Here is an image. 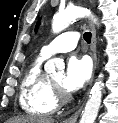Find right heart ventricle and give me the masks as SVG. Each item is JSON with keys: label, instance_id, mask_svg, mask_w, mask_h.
<instances>
[{"label": "right heart ventricle", "instance_id": "e07e8e85", "mask_svg": "<svg viewBox=\"0 0 118 123\" xmlns=\"http://www.w3.org/2000/svg\"><path fill=\"white\" fill-rule=\"evenodd\" d=\"M45 58L39 55L34 60L25 72L20 85V106L31 115H50L58 107L50 79L42 70Z\"/></svg>", "mask_w": 118, "mask_h": 123}]
</instances>
